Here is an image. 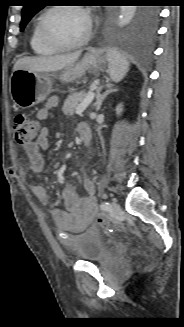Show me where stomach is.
<instances>
[{
  "label": "stomach",
  "mask_w": 184,
  "mask_h": 327,
  "mask_svg": "<svg viewBox=\"0 0 184 327\" xmlns=\"http://www.w3.org/2000/svg\"><path fill=\"white\" fill-rule=\"evenodd\" d=\"M105 59L99 52H87L77 63L66 67L59 75L65 83H71L81 78L86 71L98 72ZM52 91L50 75L17 69L10 79V93L14 104L22 109L30 108L43 102Z\"/></svg>",
  "instance_id": "stomach-1"
}]
</instances>
